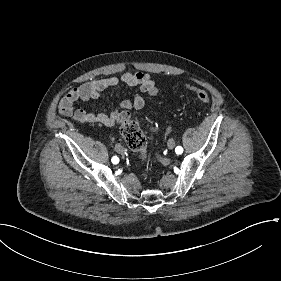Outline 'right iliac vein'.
<instances>
[{
    "label": "right iliac vein",
    "instance_id": "1",
    "mask_svg": "<svg viewBox=\"0 0 281 281\" xmlns=\"http://www.w3.org/2000/svg\"><path fill=\"white\" fill-rule=\"evenodd\" d=\"M115 150L118 152V153H123L124 149L123 147L120 145V144H116L115 145Z\"/></svg>",
    "mask_w": 281,
    "mask_h": 281
}]
</instances>
